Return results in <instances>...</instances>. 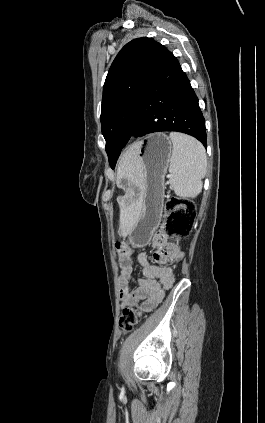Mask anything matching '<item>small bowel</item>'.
Returning a JSON list of instances; mask_svg holds the SVG:
<instances>
[{
  "instance_id": "small-bowel-1",
  "label": "small bowel",
  "mask_w": 265,
  "mask_h": 423,
  "mask_svg": "<svg viewBox=\"0 0 265 423\" xmlns=\"http://www.w3.org/2000/svg\"><path fill=\"white\" fill-rule=\"evenodd\" d=\"M151 244L156 249L152 256L153 262H149L144 253L139 254L143 278L137 279L138 288L134 290L129 287L133 273L131 251L126 260L121 261L119 258L120 305L122 308L137 307L139 316L151 312L162 302L165 291L173 286L174 275L166 264L184 259V252L176 244L169 243L162 230L154 233Z\"/></svg>"
}]
</instances>
